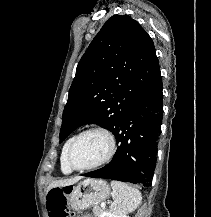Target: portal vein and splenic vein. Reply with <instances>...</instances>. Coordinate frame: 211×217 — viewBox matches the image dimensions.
Instances as JSON below:
<instances>
[{"mask_svg":"<svg viewBox=\"0 0 211 217\" xmlns=\"http://www.w3.org/2000/svg\"><path fill=\"white\" fill-rule=\"evenodd\" d=\"M101 207H102V208H105V204H104V203H102V204H101Z\"/></svg>","mask_w":211,"mask_h":217,"instance_id":"18ae733b","label":"portal vein and splenic vein"}]
</instances>
